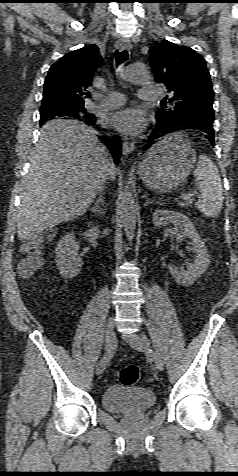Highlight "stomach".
I'll use <instances>...</instances> for the list:
<instances>
[{
  "instance_id": "0dacf381",
  "label": "stomach",
  "mask_w": 238,
  "mask_h": 476,
  "mask_svg": "<svg viewBox=\"0 0 238 476\" xmlns=\"http://www.w3.org/2000/svg\"><path fill=\"white\" fill-rule=\"evenodd\" d=\"M196 153L181 133L163 137L146 153L138 167L142 181L162 193L176 190L190 174Z\"/></svg>"
}]
</instances>
